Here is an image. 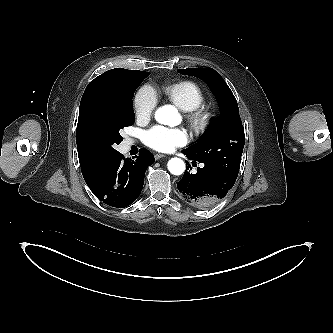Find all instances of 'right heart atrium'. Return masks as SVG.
<instances>
[{"mask_svg":"<svg viewBox=\"0 0 333 333\" xmlns=\"http://www.w3.org/2000/svg\"><path fill=\"white\" fill-rule=\"evenodd\" d=\"M157 97L149 87H142L134 99L135 115L138 119H148L155 110Z\"/></svg>","mask_w":333,"mask_h":333,"instance_id":"d8ad5b80","label":"right heart atrium"}]
</instances>
